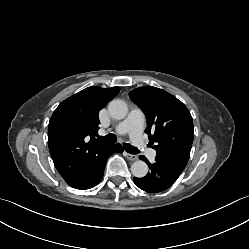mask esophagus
<instances>
[{"label":"esophagus","mask_w":249,"mask_h":249,"mask_svg":"<svg viewBox=\"0 0 249 249\" xmlns=\"http://www.w3.org/2000/svg\"><path fill=\"white\" fill-rule=\"evenodd\" d=\"M124 155L131 161H135L138 159V156L137 155H133V154H130L128 152H124Z\"/></svg>","instance_id":"1"}]
</instances>
